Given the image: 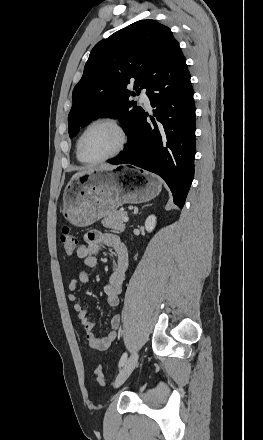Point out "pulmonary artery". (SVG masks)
I'll list each match as a JSON object with an SVG mask.
<instances>
[{
  "label": "pulmonary artery",
  "mask_w": 263,
  "mask_h": 440,
  "mask_svg": "<svg viewBox=\"0 0 263 440\" xmlns=\"http://www.w3.org/2000/svg\"><path fill=\"white\" fill-rule=\"evenodd\" d=\"M139 100L141 103H143L145 105L146 108H148V109L151 108L149 96L147 95V93L145 91L141 92Z\"/></svg>",
  "instance_id": "1"
}]
</instances>
